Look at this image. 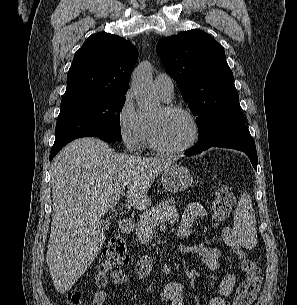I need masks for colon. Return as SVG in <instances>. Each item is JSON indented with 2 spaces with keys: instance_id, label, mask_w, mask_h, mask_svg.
<instances>
[{
  "instance_id": "1",
  "label": "colon",
  "mask_w": 297,
  "mask_h": 305,
  "mask_svg": "<svg viewBox=\"0 0 297 305\" xmlns=\"http://www.w3.org/2000/svg\"><path fill=\"white\" fill-rule=\"evenodd\" d=\"M232 186L222 182L213 194L211 216L216 225L224 222L230 215L234 205ZM126 242L121 234L113 235L108 241L99 261V275H109L127 263ZM245 277L238 285L228 305H251L256 299L262 285L263 274L256 261L244 264ZM67 305H86L81 292L70 291Z\"/></svg>"
}]
</instances>
